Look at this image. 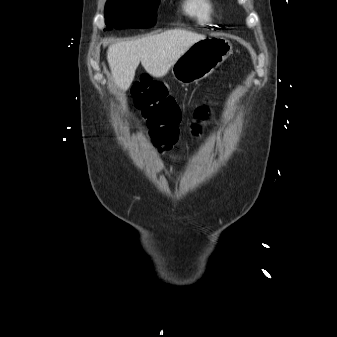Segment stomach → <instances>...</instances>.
Listing matches in <instances>:
<instances>
[{
  "label": "stomach",
  "mask_w": 337,
  "mask_h": 337,
  "mask_svg": "<svg viewBox=\"0 0 337 337\" xmlns=\"http://www.w3.org/2000/svg\"><path fill=\"white\" fill-rule=\"evenodd\" d=\"M232 53V44L224 38H205L191 45L172 65L174 78L192 84L209 76Z\"/></svg>",
  "instance_id": "1"
}]
</instances>
